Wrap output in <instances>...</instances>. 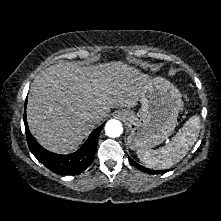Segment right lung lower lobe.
Segmentation results:
<instances>
[{
    "label": "right lung lower lobe",
    "instance_id": "right-lung-lower-lobe-1",
    "mask_svg": "<svg viewBox=\"0 0 221 221\" xmlns=\"http://www.w3.org/2000/svg\"><path fill=\"white\" fill-rule=\"evenodd\" d=\"M24 124L28 146L32 154L45 167L60 175H74L84 171L93 161L99 134L104 124L92 131L83 146L76 152L68 155H59L44 149L32 137L24 114Z\"/></svg>",
    "mask_w": 221,
    "mask_h": 221
}]
</instances>
